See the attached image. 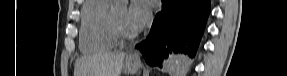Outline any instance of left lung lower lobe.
<instances>
[{
    "mask_svg": "<svg viewBox=\"0 0 287 76\" xmlns=\"http://www.w3.org/2000/svg\"><path fill=\"white\" fill-rule=\"evenodd\" d=\"M145 41L136 46L147 64L162 66L176 54L194 58L210 13V0H162Z\"/></svg>",
    "mask_w": 287,
    "mask_h": 76,
    "instance_id": "obj_1",
    "label": "left lung lower lobe"
}]
</instances>
